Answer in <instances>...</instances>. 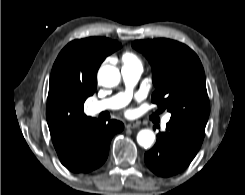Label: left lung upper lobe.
Wrapping results in <instances>:
<instances>
[{
	"label": "left lung upper lobe",
	"mask_w": 245,
	"mask_h": 195,
	"mask_svg": "<svg viewBox=\"0 0 245 195\" xmlns=\"http://www.w3.org/2000/svg\"><path fill=\"white\" fill-rule=\"evenodd\" d=\"M132 46L152 66V102L158 111L170 112V120L205 127L210 105L204 69L196 53L185 44L165 38L136 40Z\"/></svg>",
	"instance_id": "5c2ea615"
}]
</instances>
